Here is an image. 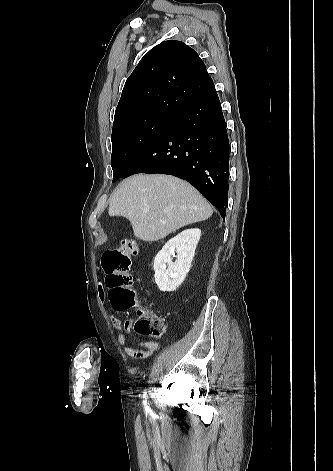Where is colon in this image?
<instances>
[{
    "label": "colon",
    "mask_w": 333,
    "mask_h": 471,
    "mask_svg": "<svg viewBox=\"0 0 333 471\" xmlns=\"http://www.w3.org/2000/svg\"><path fill=\"white\" fill-rule=\"evenodd\" d=\"M138 252L135 239L126 238L119 247L106 251L102 256V266L107 274L106 284L110 288L109 298L118 311H125L139 306L132 289L134 280L130 273L132 257ZM135 330L145 336L160 339L165 333V324L161 316L152 310L139 306Z\"/></svg>",
    "instance_id": "1"
}]
</instances>
